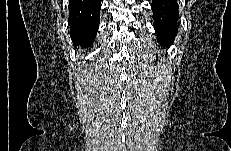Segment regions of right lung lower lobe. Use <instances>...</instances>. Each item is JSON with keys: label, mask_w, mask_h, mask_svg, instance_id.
I'll return each instance as SVG.
<instances>
[{"label": "right lung lower lobe", "mask_w": 231, "mask_h": 151, "mask_svg": "<svg viewBox=\"0 0 231 151\" xmlns=\"http://www.w3.org/2000/svg\"><path fill=\"white\" fill-rule=\"evenodd\" d=\"M101 0H69V25L75 46L89 47L99 27Z\"/></svg>", "instance_id": "98d812e1"}]
</instances>
